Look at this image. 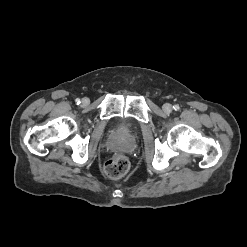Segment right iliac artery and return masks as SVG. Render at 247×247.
<instances>
[{"label": "right iliac artery", "instance_id": "right-iliac-artery-1", "mask_svg": "<svg viewBox=\"0 0 247 247\" xmlns=\"http://www.w3.org/2000/svg\"><path fill=\"white\" fill-rule=\"evenodd\" d=\"M75 102H76L77 105L80 104V99L77 98V99L75 100Z\"/></svg>", "mask_w": 247, "mask_h": 247}]
</instances>
